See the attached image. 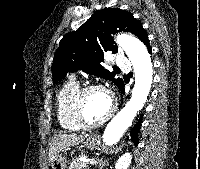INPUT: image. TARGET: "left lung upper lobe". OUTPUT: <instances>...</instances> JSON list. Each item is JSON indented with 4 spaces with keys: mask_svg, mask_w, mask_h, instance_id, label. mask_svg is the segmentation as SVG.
I'll list each match as a JSON object with an SVG mask.
<instances>
[{
    "mask_svg": "<svg viewBox=\"0 0 200 169\" xmlns=\"http://www.w3.org/2000/svg\"><path fill=\"white\" fill-rule=\"evenodd\" d=\"M131 32L145 43L148 35L140 21L119 8L103 9L93 14L78 30L67 33L60 41L53 64V83L62 80L68 72L82 70L88 74L112 81L119 87L123 80L116 78L101 65L103 52L116 53L118 47L111 34Z\"/></svg>",
    "mask_w": 200,
    "mask_h": 169,
    "instance_id": "5c2ea615",
    "label": "left lung upper lobe"
}]
</instances>
